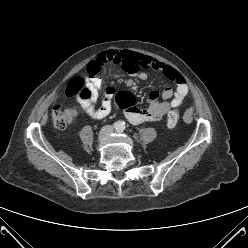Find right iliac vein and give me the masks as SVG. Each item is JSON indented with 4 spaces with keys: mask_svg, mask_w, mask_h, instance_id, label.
Wrapping results in <instances>:
<instances>
[{
    "mask_svg": "<svg viewBox=\"0 0 248 248\" xmlns=\"http://www.w3.org/2000/svg\"><path fill=\"white\" fill-rule=\"evenodd\" d=\"M108 133H109V129L103 128L99 133L98 143H102L106 139V137L108 136Z\"/></svg>",
    "mask_w": 248,
    "mask_h": 248,
    "instance_id": "1",
    "label": "right iliac vein"
}]
</instances>
